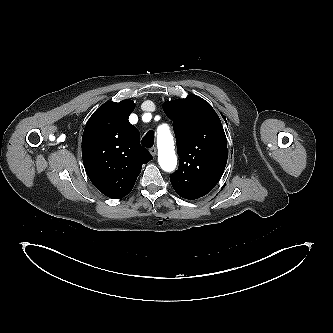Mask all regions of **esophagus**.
Listing matches in <instances>:
<instances>
[{
  "instance_id": "1",
  "label": "esophagus",
  "mask_w": 333,
  "mask_h": 333,
  "mask_svg": "<svg viewBox=\"0 0 333 333\" xmlns=\"http://www.w3.org/2000/svg\"><path fill=\"white\" fill-rule=\"evenodd\" d=\"M150 154L154 157L157 154V149L156 147H152L149 149Z\"/></svg>"
}]
</instances>
